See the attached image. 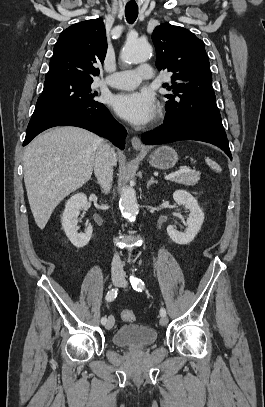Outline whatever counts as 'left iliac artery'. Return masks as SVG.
I'll return each instance as SVG.
<instances>
[{"label":"left iliac artery","mask_w":265,"mask_h":407,"mask_svg":"<svg viewBox=\"0 0 265 407\" xmlns=\"http://www.w3.org/2000/svg\"><path fill=\"white\" fill-rule=\"evenodd\" d=\"M130 282L134 290L141 292L144 289V282L141 279L131 277ZM160 315L166 316L165 308L160 309Z\"/></svg>","instance_id":"left-iliac-artery-1"}]
</instances>
